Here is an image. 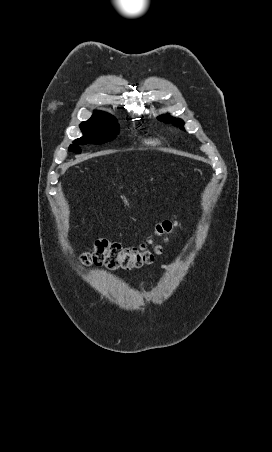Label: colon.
I'll use <instances>...</instances> for the list:
<instances>
[{
  "label": "colon",
  "instance_id": "obj_1",
  "mask_svg": "<svg viewBox=\"0 0 272 452\" xmlns=\"http://www.w3.org/2000/svg\"><path fill=\"white\" fill-rule=\"evenodd\" d=\"M177 226L176 222L163 221L156 226L155 236L162 243L169 241L170 235ZM162 251V244L156 243L153 238L139 246H123L120 243L110 242L105 239L97 240L93 247L82 255L85 265H99L110 269H133L154 260V255Z\"/></svg>",
  "mask_w": 272,
  "mask_h": 452
}]
</instances>
